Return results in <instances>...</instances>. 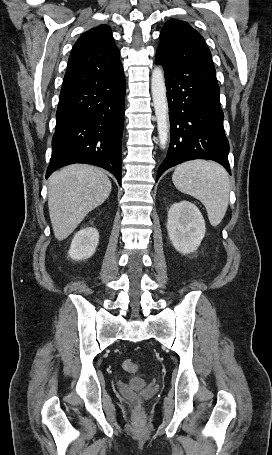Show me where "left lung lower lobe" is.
Wrapping results in <instances>:
<instances>
[{
    "label": "left lung lower lobe",
    "instance_id": "left-lung-lower-lobe-1",
    "mask_svg": "<svg viewBox=\"0 0 272 455\" xmlns=\"http://www.w3.org/2000/svg\"><path fill=\"white\" fill-rule=\"evenodd\" d=\"M162 64L170 116L171 141L156 181L168 169L193 159H209L231 174L229 142L223 128L220 88L214 69L195 66L169 68Z\"/></svg>",
    "mask_w": 272,
    "mask_h": 455
}]
</instances>
